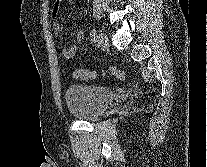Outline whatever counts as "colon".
<instances>
[{
	"instance_id": "1",
	"label": "colon",
	"mask_w": 207,
	"mask_h": 167,
	"mask_svg": "<svg viewBox=\"0 0 207 167\" xmlns=\"http://www.w3.org/2000/svg\"><path fill=\"white\" fill-rule=\"evenodd\" d=\"M115 80L122 81L124 79V73L117 68H110L107 71ZM106 72H98L87 69H76L71 72V76L77 80H91L97 78L99 75H104Z\"/></svg>"
}]
</instances>
